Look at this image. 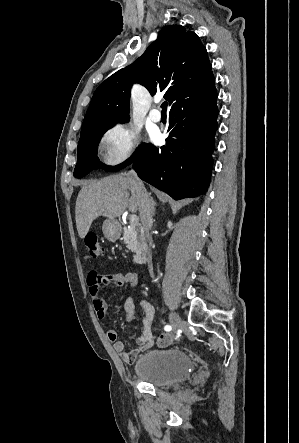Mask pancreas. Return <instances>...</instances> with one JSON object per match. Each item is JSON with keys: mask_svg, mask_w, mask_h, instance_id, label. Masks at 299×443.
Here are the masks:
<instances>
[{"mask_svg": "<svg viewBox=\"0 0 299 443\" xmlns=\"http://www.w3.org/2000/svg\"><path fill=\"white\" fill-rule=\"evenodd\" d=\"M142 236L143 230L138 223L131 224L130 227H125L123 230V239L127 248L132 252L137 250L140 241L142 240Z\"/></svg>", "mask_w": 299, "mask_h": 443, "instance_id": "1", "label": "pancreas"}]
</instances>
